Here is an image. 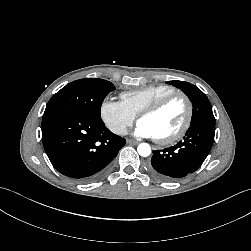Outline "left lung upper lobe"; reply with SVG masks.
<instances>
[{
  "label": "left lung upper lobe",
  "mask_w": 251,
  "mask_h": 251,
  "mask_svg": "<svg viewBox=\"0 0 251 251\" xmlns=\"http://www.w3.org/2000/svg\"><path fill=\"white\" fill-rule=\"evenodd\" d=\"M179 85L189 96L193 104V114L191 125L200 121L215 122L212 112V106L207 96L195 85L183 81H174Z\"/></svg>",
  "instance_id": "5c2ea615"
}]
</instances>
